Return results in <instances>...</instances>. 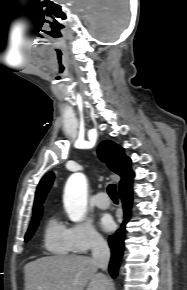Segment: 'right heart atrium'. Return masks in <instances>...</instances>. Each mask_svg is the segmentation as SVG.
I'll return each mask as SVG.
<instances>
[{
  "instance_id": "obj_1",
  "label": "right heart atrium",
  "mask_w": 187,
  "mask_h": 290,
  "mask_svg": "<svg viewBox=\"0 0 187 290\" xmlns=\"http://www.w3.org/2000/svg\"><path fill=\"white\" fill-rule=\"evenodd\" d=\"M68 238L74 253H87L104 244L102 235L88 221L72 224L68 228Z\"/></svg>"
}]
</instances>
